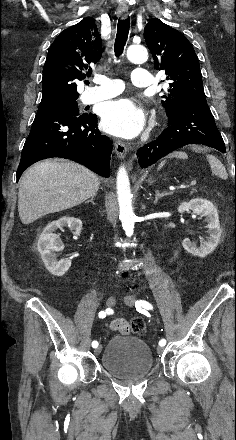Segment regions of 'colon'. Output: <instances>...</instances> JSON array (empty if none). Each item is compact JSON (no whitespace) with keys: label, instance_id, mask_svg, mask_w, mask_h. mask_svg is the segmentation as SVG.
Returning <instances> with one entry per match:
<instances>
[{"label":"colon","instance_id":"obj_1","mask_svg":"<svg viewBox=\"0 0 236 440\" xmlns=\"http://www.w3.org/2000/svg\"><path fill=\"white\" fill-rule=\"evenodd\" d=\"M127 333L143 334L145 332V323L141 318H135L130 324Z\"/></svg>","mask_w":236,"mask_h":440}]
</instances>
